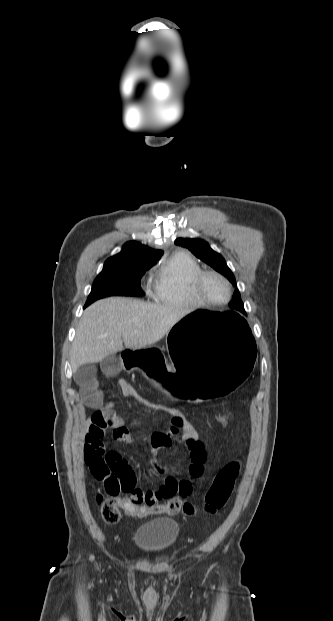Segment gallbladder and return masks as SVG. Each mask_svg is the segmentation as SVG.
<instances>
[{"instance_id": "1", "label": "gallbladder", "mask_w": 333, "mask_h": 621, "mask_svg": "<svg viewBox=\"0 0 333 621\" xmlns=\"http://www.w3.org/2000/svg\"><path fill=\"white\" fill-rule=\"evenodd\" d=\"M74 380L77 384H87L96 376V368L93 364H84L74 372Z\"/></svg>"}]
</instances>
